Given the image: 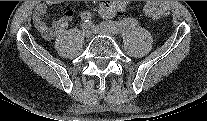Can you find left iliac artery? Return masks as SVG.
Instances as JSON below:
<instances>
[{"mask_svg": "<svg viewBox=\"0 0 207 121\" xmlns=\"http://www.w3.org/2000/svg\"><path fill=\"white\" fill-rule=\"evenodd\" d=\"M135 20L132 18H127L124 21H105L100 24V26L107 27L113 30L116 34L124 32L127 28L132 27L135 25Z\"/></svg>", "mask_w": 207, "mask_h": 121, "instance_id": "1", "label": "left iliac artery"}]
</instances>
